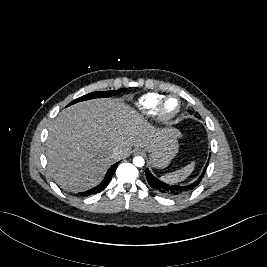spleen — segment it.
<instances>
[{
    "label": "spleen",
    "instance_id": "obj_1",
    "mask_svg": "<svg viewBox=\"0 0 267 267\" xmlns=\"http://www.w3.org/2000/svg\"><path fill=\"white\" fill-rule=\"evenodd\" d=\"M194 168H195V162L193 161L189 165L179 170L161 176V179L168 183H177L179 181L186 179L192 173Z\"/></svg>",
    "mask_w": 267,
    "mask_h": 267
}]
</instances>
